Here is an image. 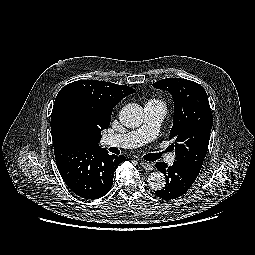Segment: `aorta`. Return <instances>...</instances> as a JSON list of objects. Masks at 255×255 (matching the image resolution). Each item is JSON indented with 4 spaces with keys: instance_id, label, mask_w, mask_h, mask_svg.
I'll list each match as a JSON object with an SVG mask.
<instances>
[{
    "instance_id": "762f6f07",
    "label": "aorta",
    "mask_w": 255,
    "mask_h": 255,
    "mask_svg": "<svg viewBox=\"0 0 255 255\" xmlns=\"http://www.w3.org/2000/svg\"><path fill=\"white\" fill-rule=\"evenodd\" d=\"M143 119V108L137 103H129L125 105L119 113L121 124L128 128L140 126ZM147 183L152 190H161L166 184V178L161 172L155 171L149 174Z\"/></svg>"
}]
</instances>
